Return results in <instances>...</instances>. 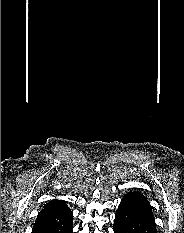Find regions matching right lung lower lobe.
Here are the masks:
<instances>
[{
  "label": "right lung lower lobe",
  "mask_w": 184,
  "mask_h": 233,
  "mask_svg": "<svg viewBox=\"0 0 184 233\" xmlns=\"http://www.w3.org/2000/svg\"><path fill=\"white\" fill-rule=\"evenodd\" d=\"M72 218V212L65 203L42 209L32 233H72Z\"/></svg>",
  "instance_id": "obj_1"
}]
</instances>
